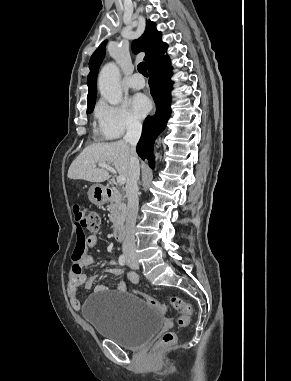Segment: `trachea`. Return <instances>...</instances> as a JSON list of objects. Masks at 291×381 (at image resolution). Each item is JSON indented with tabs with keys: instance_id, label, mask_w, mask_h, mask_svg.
<instances>
[{
	"instance_id": "1",
	"label": "trachea",
	"mask_w": 291,
	"mask_h": 381,
	"mask_svg": "<svg viewBox=\"0 0 291 381\" xmlns=\"http://www.w3.org/2000/svg\"><path fill=\"white\" fill-rule=\"evenodd\" d=\"M137 69L138 71L143 74L145 77H148V74H147V68H146V65L144 62H141L138 64L137 66Z\"/></svg>"
}]
</instances>
